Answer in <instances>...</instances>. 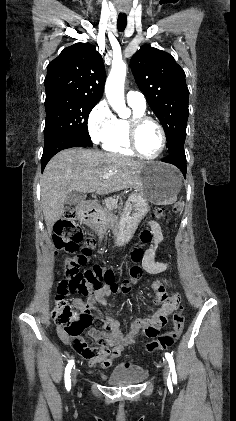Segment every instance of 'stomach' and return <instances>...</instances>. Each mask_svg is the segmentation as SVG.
<instances>
[{
    "instance_id": "obj_1",
    "label": "stomach",
    "mask_w": 236,
    "mask_h": 421,
    "mask_svg": "<svg viewBox=\"0 0 236 421\" xmlns=\"http://www.w3.org/2000/svg\"><path fill=\"white\" fill-rule=\"evenodd\" d=\"M141 190L130 194L119 219L101 215L100 223L112 229L116 247L127 245L132 239L140 221L150 211L149 202L172 204L181 188V174L175 166L158 160L144 162L140 172Z\"/></svg>"
}]
</instances>
